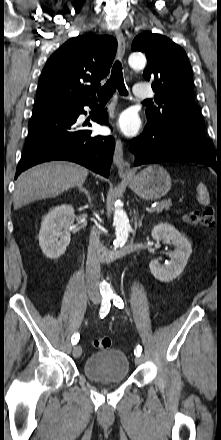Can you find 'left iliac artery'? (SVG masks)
Wrapping results in <instances>:
<instances>
[{"label": "left iliac artery", "mask_w": 221, "mask_h": 440, "mask_svg": "<svg viewBox=\"0 0 221 440\" xmlns=\"http://www.w3.org/2000/svg\"><path fill=\"white\" fill-rule=\"evenodd\" d=\"M109 297H110V299L113 300V304H114L116 307H118L119 309H122V308L124 307L123 300H122L118 295H116V294H111ZM141 352H142V347H141L140 345H138V346L136 347V349L134 350V354H135L136 356H140V355H141Z\"/></svg>", "instance_id": "left-iliac-artery-1"}]
</instances>
